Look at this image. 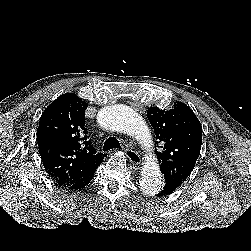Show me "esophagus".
I'll return each instance as SVG.
<instances>
[{
  "instance_id": "1",
  "label": "esophagus",
  "mask_w": 251,
  "mask_h": 251,
  "mask_svg": "<svg viewBox=\"0 0 251 251\" xmlns=\"http://www.w3.org/2000/svg\"><path fill=\"white\" fill-rule=\"evenodd\" d=\"M125 153H126L127 158L129 159V161L133 165H135V166L140 165L141 158H140V155L136 151L129 149V148H126Z\"/></svg>"
}]
</instances>
